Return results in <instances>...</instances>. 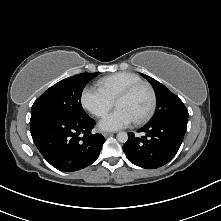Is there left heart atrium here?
<instances>
[{"label": "left heart atrium", "mask_w": 221, "mask_h": 221, "mask_svg": "<svg viewBox=\"0 0 221 221\" xmlns=\"http://www.w3.org/2000/svg\"><path fill=\"white\" fill-rule=\"evenodd\" d=\"M133 122L134 119L126 110L117 108L99 122V127L102 130L115 131L129 126Z\"/></svg>", "instance_id": "obj_1"}]
</instances>
